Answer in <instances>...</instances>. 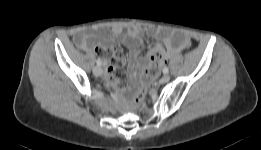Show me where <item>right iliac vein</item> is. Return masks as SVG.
Here are the masks:
<instances>
[{"instance_id": "1", "label": "right iliac vein", "mask_w": 261, "mask_h": 150, "mask_svg": "<svg viewBox=\"0 0 261 150\" xmlns=\"http://www.w3.org/2000/svg\"><path fill=\"white\" fill-rule=\"evenodd\" d=\"M93 74L95 76H101L102 75V69L99 66L94 67Z\"/></svg>"}]
</instances>
